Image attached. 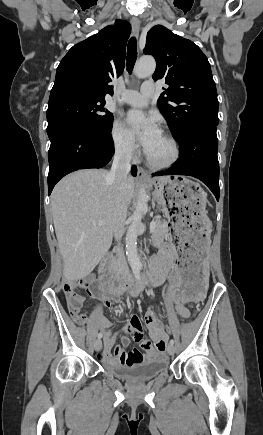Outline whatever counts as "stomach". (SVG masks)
Masks as SVG:
<instances>
[{
  "instance_id": "0dacf381",
  "label": "stomach",
  "mask_w": 263,
  "mask_h": 435,
  "mask_svg": "<svg viewBox=\"0 0 263 435\" xmlns=\"http://www.w3.org/2000/svg\"><path fill=\"white\" fill-rule=\"evenodd\" d=\"M150 184L155 188L154 199L173 222L167 225L175 254L173 261L165 264L170 278L167 299L172 305H200L207 296L205 288L211 286L205 262L212 246L213 225L205 208L206 193L199 183L184 176L155 178Z\"/></svg>"
}]
</instances>
